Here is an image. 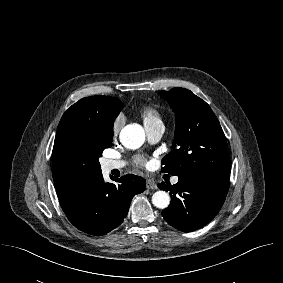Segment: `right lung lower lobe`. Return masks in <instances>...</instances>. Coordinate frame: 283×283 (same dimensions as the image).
<instances>
[{"mask_svg": "<svg viewBox=\"0 0 283 283\" xmlns=\"http://www.w3.org/2000/svg\"><path fill=\"white\" fill-rule=\"evenodd\" d=\"M105 183L102 172L95 173L59 197L69 221L91 235H104L120 225L126 217L131 199L145 190L144 178L132 174L112 178Z\"/></svg>", "mask_w": 283, "mask_h": 283, "instance_id": "obj_1", "label": "right lung lower lobe"}]
</instances>
